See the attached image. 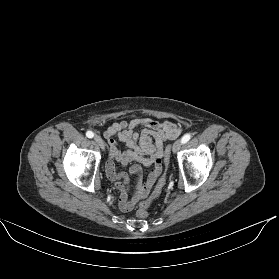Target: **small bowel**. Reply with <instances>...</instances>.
<instances>
[{
    "label": "small bowel",
    "mask_w": 279,
    "mask_h": 279,
    "mask_svg": "<svg viewBox=\"0 0 279 279\" xmlns=\"http://www.w3.org/2000/svg\"><path fill=\"white\" fill-rule=\"evenodd\" d=\"M139 127L142 128L140 133L136 131ZM179 134L180 128L176 124L168 120L158 122L149 117L135 118L129 122L119 121L107 129L105 137L110 146V156L105 170L108 178L115 183L120 192L119 207L122 211H131L149 194L161 173L164 143L177 138ZM117 140L125 143V150H119ZM133 161L152 168L144 182H142V168L139 165L130 168V173L137 177V186L133 196L128 198V175L119 173L115 162L126 165Z\"/></svg>",
    "instance_id": "obj_1"
}]
</instances>
